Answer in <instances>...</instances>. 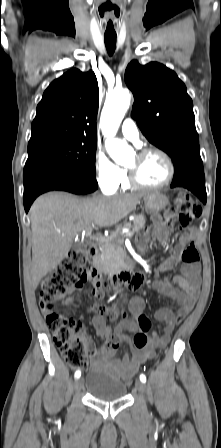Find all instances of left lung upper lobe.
I'll use <instances>...</instances> for the list:
<instances>
[{"mask_svg": "<svg viewBox=\"0 0 221 448\" xmlns=\"http://www.w3.org/2000/svg\"><path fill=\"white\" fill-rule=\"evenodd\" d=\"M124 77L134 95L132 117L144 136L172 158L175 169L201 160L193 103L176 73L157 62L132 61Z\"/></svg>", "mask_w": 221, "mask_h": 448, "instance_id": "5c2ea615", "label": "left lung upper lobe"}]
</instances>
